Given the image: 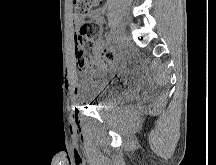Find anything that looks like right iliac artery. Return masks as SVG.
I'll use <instances>...</instances> for the list:
<instances>
[{"mask_svg": "<svg viewBox=\"0 0 216 165\" xmlns=\"http://www.w3.org/2000/svg\"><path fill=\"white\" fill-rule=\"evenodd\" d=\"M114 39H115V37H114V32L111 31V32L109 33V35H108V40H109L110 42H112V41H114Z\"/></svg>", "mask_w": 216, "mask_h": 165, "instance_id": "obj_1", "label": "right iliac artery"}]
</instances>
